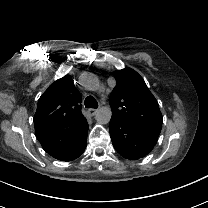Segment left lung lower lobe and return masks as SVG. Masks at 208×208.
<instances>
[{
  "instance_id": "0a47b994",
  "label": "left lung lower lobe",
  "mask_w": 208,
  "mask_h": 208,
  "mask_svg": "<svg viewBox=\"0 0 208 208\" xmlns=\"http://www.w3.org/2000/svg\"><path fill=\"white\" fill-rule=\"evenodd\" d=\"M113 147L124 158L137 160L148 155L154 148L144 135L129 123L112 116L109 124Z\"/></svg>"
}]
</instances>
